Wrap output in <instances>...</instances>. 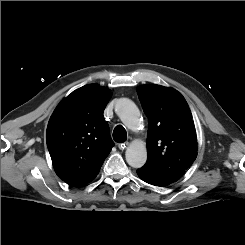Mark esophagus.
Here are the masks:
<instances>
[{
  "mask_svg": "<svg viewBox=\"0 0 245 245\" xmlns=\"http://www.w3.org/2000/svg\"><path fill=\"white\" fill-rule=\"evenodd\" d=\"M128 145H129L128 142L120 143V144L118 145V148H119L120 150H124V149L127 148Z\"/></svg>",
  "mask_w": 245,
  "mask_h": 245,
  "instance_id": "34e87169",
  "label": "esophagus"
}]
</instances>
